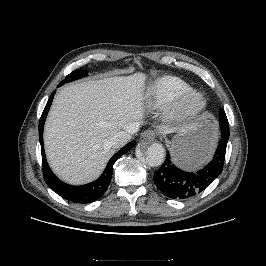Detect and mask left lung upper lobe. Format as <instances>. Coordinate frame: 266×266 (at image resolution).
<instances>
[{"label": "left lung upper lobe", "instance_id": "left-lung-upper-lobe-1", "mask_svg": "<svg viewBox=\"0 0 266 266\" xmlns=\"http://www.w3.org/2000/svg\"><path fill=\"white\" fill-rule=\"evenodd\" d=\"M222 114H225V112L223 111V109L220 110V116H221Z\"/></svg>", "mask_w": 266, "mask_h": 266}]
</instances>
